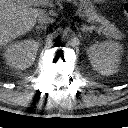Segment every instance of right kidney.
I'll return each instance as SVG.
<instances>
[{"instance_id":"right-kidney-1","label":"right kidney","mask_w":128,"mask_h":128,"mask_svg":"<svg viewBox=\"0 0 128 128\" xmlns=\"http://www.w3.org/2000/svg\"><path fill=\"white\" fill-rule=\"evenodd\" d=\"M39 46V41L34 39L10 42L3 53L6 64L20 70L30 67L35 61Z\"/></svg>"}]
</instances>
